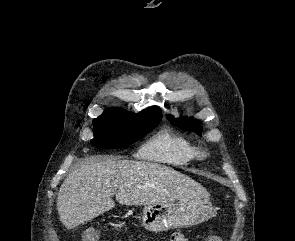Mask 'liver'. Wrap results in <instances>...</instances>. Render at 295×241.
Listing matches in <instances>:
<instances>
[{
    "mask_svg": "<svg viewBox=\"0 0 295 241\" xmlns=\"http://www.w3.org/2000/svg\"><path fill=\"white\" fill-rule=\"evenodd\" d=\"M150 205L185 201L207 190L192 178L161 164L92 158L71 172L60 187L57 210L67 229L94 219L115 206Z\"/></svg>",
    "mask_w": 295,
    "mask_h": 241,
    "instance_id": "liver-1",
    "label": "liver"
}]
</instances>
